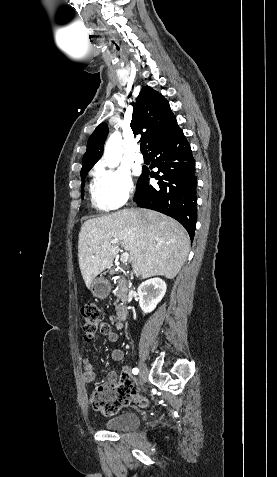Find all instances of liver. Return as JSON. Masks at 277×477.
Instances as JSON below:
<instances>
[{"mask_svg":"<svg viewBox=\"0 0 277 477\" xmlns=\"http://www.w3.org/2000/svg\"><path fill=\"white\" fill-rule=\"evenodd\" d=\"M122 241L130 252L136 277L173 279L189 253L185 228L176 220L148 209H123L85 221L78 240L79 266L88 289L109 268L119 252L111 240Z\"/></svg>","mask_w":277,"mask_h":477,"instance_id":"6515ba94","label":"liver"}]
</instances>
